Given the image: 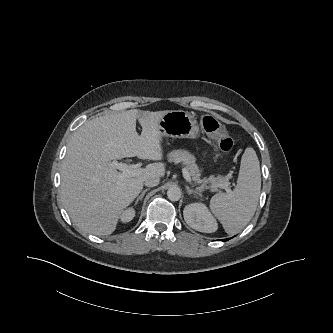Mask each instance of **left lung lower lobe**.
<instances>
[{
    "label": "left lung lower lobe",
    "instance_id": "0a47b994",
    "mask_svg": "<svg viewBox=\"0 0 333 333\" xmlns=\"http://www.w3.org/2000/svg\"><path fill=\"white\" fill-rule=\"evenodd\" d=\"M227 240H229V239H224L223 241H227Z\"/></svg>",
    "mask_w": 333,
    "mask_h": 333
}]
</instances>
